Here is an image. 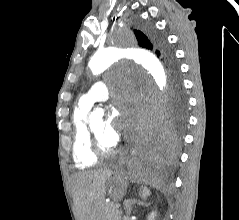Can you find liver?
Returning <instances> with one entry per match:
<instances>
[{"label":"liver","instance_id":"1","mask_svg":"<svg viewBox=\"0 0 239 220\" xmlns=\"http://www.w3.org/2000/svg\"><path fill=\"white\" fill-rule=\"evenodd\" d=\"M113 171H83L72 177V194L78 220H103L106 188Z\"/></svg>","mask_w":239,"mask_h":220}]
</instances>
